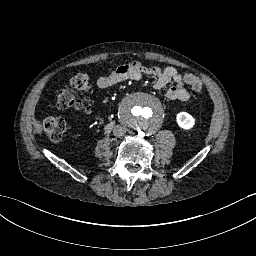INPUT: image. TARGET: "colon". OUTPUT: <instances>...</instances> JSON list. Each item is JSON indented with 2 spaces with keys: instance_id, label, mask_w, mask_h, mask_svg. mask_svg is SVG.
Masks as SVG:
<instances>
[{
  "instance_id": "5ec220e1",
  "label": "colon",
  "mask_w": 256,
  "mask_h": 256,
  "mask_svg": "<svg viewBox=\"0 0 256 256\" xmlns=\"http://www.w3.org/2000/svg\"><path fill=\"white\" fill-rule=\"evenodd\" d=\"M183 81L194 92L201 93L203 90V82L201 78L193 73H186L182 76ZM90 85V80L87 74L77 73L72 76L68 83V88L60 89L56 93V106L58 109H73L75 111H84L87 105L76 98L73 91L87 90ZM68 128V123L65 119L50 117L43 122V129L46 136L53 142H59L63 139Z\"/></svg>"
}]
</instances>
